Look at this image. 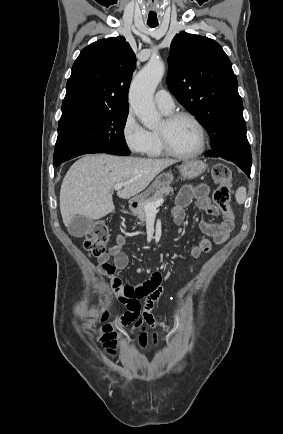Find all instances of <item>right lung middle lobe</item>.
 Wrapping results in <instances>:
<instances>
[{"mask_svg":"<svg viewBox=\"0 0 283 434\" xmlns=\"http://www.w3.org/2000/svg\"><path fill=\"white\" fill-rule=\"evenodd\" d=\"M128 110L78 113L61 117L54 149V165L88 153L126 156L124 137Z\"/></svg>","mask_w":283,"mask_h":434,"instance_id":"obj_1","label":"right lung middle lobe"}]
</instances>
